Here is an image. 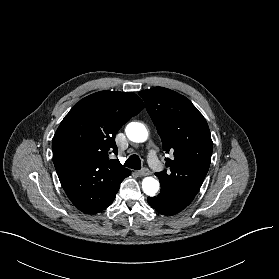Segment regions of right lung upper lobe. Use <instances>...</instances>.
<instances>
[{"label":"right lung upper lobe","instance_id":"right-lung-upper-lobe-1","mask_svg":"<svg viewBox=\"0 0 279 279\" xmlns=\"http://www.w3.org/2000/svg\"><path fill=\"white\" fill-rule=\"evenodd\" d=\"M144 108L132 92L100 91L80 100L65 116L53 140V161L60 183L82 212L100 211L131 171L118 160L115 135Z\"/></svg>","mask_w":279,"mask_h":279}]
</instances>
